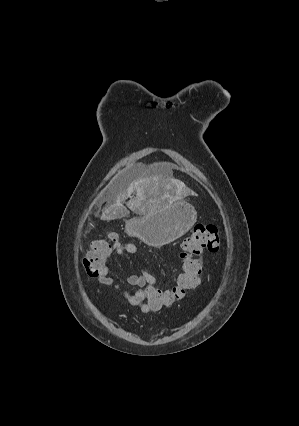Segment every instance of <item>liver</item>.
<instances>
[{
    "label": "liver",
    "mask_w": 299,
    "mask_h": 426,
    "mask_svg": "<svg viewBox=\"0 0 299 426\" xmlns=\"http://www.w3.org/2000/svg\"><path fill=\"white\" fill-rule=\"evenodd\" d=\"M172 183L170 180H164L163 184H154L150 182V178L144 177L131 181L126 187H120L115 191L113 203L103 212L102 220H111L118 218L119 216L128 214V208L135 209L137 207H157L158 200L156 197L161 191L165 192L164 198L168 196L169 185ZM136 192V199L130 200L124 203L127 198L131 197V194Z\"/></svg>",
    "instance_id": "6515ba94"
}]
</instances>
